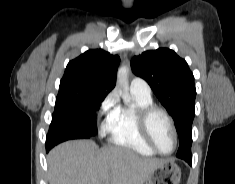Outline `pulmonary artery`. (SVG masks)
I'll list each match as a JSON object with an SVG mask.
<instances>
[{
	"label": "pulmonary artery",
	"mask_w": 235,
	"mask_h": 184,
	"mask_svg": "<svg viewBox=\"0 0 235 184\" xmlns=\"http://www.w3.org/2000/svg\"><path fill=\"white\" fill-rule=\"evenodd\" d=\"M130 88L135 95L150 98L151 97V88L149 84L140 77H134L131 80Z\"/></svg>",
	"instance_id": "obj_1"
}]
</instances>
